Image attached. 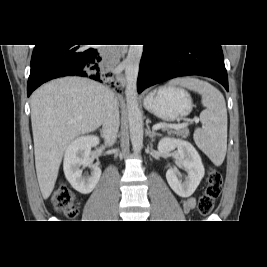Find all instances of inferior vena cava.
Segmentation results:
<instances>
[{"label": "inferior vena cava", "instance_id": "602c4592", "mask_svg": "<svg viewBox=\"0 0 267 267\" xmlns=\"http://www.w3.org/2000/svg\"><path fill=\"white\" fill-rule=\"evenodd\" d=\"M118 103L112 91L107 96L106 115L102 123V136L105 144L111 146L115 143L119 130Z\"/></svg>", "mask_w": 267, "mask_h": 267}]
</instances>
